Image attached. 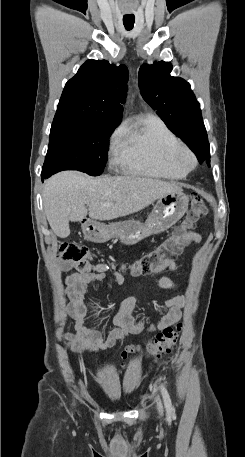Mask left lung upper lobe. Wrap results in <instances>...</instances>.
<instances>
[{
  "label": "left lung upper lobe",
  "mask_w": 245,
  "mask_h": 457,
  "mask_svg": "<svg viewBox=\"0 0 245 457\" xmlns=\"http://www.w3.org/2000/svg\"><path fill=\"white\" fill-rule=\"evenodd\" d=\"M172 65L161 61L143 64L139 70V88L144 100L168 128L198 156L209 147L200 104L190 84L170 76Z\"/></svg>",
  "instance_id": "1"
}]
</instances>
